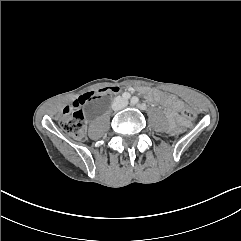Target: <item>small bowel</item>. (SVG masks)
<instances>
[{
    "label": "small bowel",
    "mask_w": 241,
    "mask_h": 241,
    "mask_svg": "<svg viewBox=\"0 0 241 241\" xmlns=\"http://www.w3.org/2000/svg\"><path fill=\"white\" fill-rule=\"evenodd\" d=\"M117 91H119L118 87H117V90L114 92H117ZM146 95L149 98L158 100L159 102H161L162 104L168 107L167 116L171 121L176 122L179 125L185 124V122L182 119L178 118V114L184 106L183 101H181L175 96L167 95L159 92L147 91Z\"/></svg>",
    "instance_id": "small-bowel-1"
}]
</instances>
